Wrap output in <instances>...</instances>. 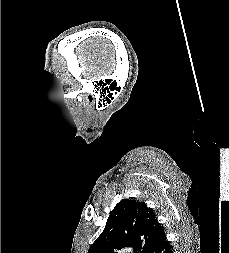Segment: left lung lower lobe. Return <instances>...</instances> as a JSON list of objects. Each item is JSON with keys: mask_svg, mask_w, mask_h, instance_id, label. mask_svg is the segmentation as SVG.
<instances>
[{"mask_svg": "<svg viewBox=\"0 0 229 253\" xmlns=\"http://www.w3.org/2000/svg\"><path fill=\"white\" fill-rule=\"evenodd\" d=\"M154 253H173V247L166 236L161 240Z\"/></svg>", "mask_w": 229, "mask_h": 253, "instance_id": "left-lung-lower-lobe-1", "label": "left lung lower lobe"}]
</instances>
